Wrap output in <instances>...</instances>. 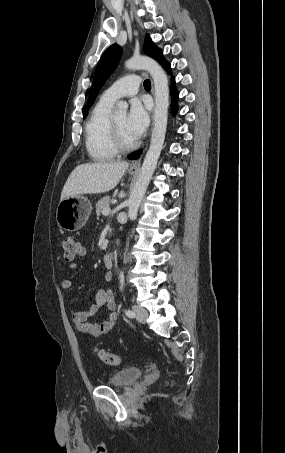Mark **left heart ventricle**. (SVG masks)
Instances as JSON below:
<instances>
[{
	"mask_svg": "<svg viewBox=\"0 0 285 453\" xmlns=\"http://www.w3.org/2000/svg\"><path fill=\"white\" fill-rule=\"evenodd\" d=\"M126 118L127 115L125 113H121L116 115L114 117V120L124 141L130 143L135 141L136 139H134L127 130Z\"/></svg>",
	"mask_w": 285,
	"mask_h": 453,
	"instance_id": "1",
	"label": "left heart ventricle"
}]
</instances>
